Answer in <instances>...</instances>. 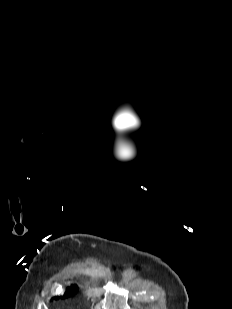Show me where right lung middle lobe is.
Listing matches in <instances>:
<instances>
[{"instance_id":"obj_1","label":"right lung middle lobe","mask_w":232,"mask_h":309,"mask_svg":"<svg viewBox=\"0 0 232 309\" xmlns=\"http://www.w3.org/2000/svg\"><path fill=\"white\" fill-rule=\"evenodd\" d=\"M76 291H74V290H67V292L65 293V295L63 296V297H65V296H69V295H71V294H73V293H75Z\"/></svg>"}]
</instances>
